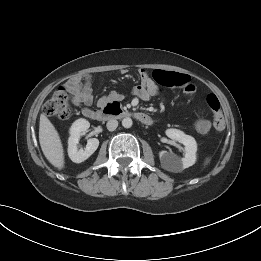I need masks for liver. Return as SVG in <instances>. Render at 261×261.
<instances>
[{"mask_svg":"<svg viewBox=\"0 0 261 261\" xmlns=\"http://www.w3.org/2000/svg\"><path fill=\"white\" fill-rule=\"evenodd\" d=\"M39 142L47 160L59 170L63 169L65 162L62 142L57 130L45 114L40 115Z\"/></svg>","mask_w":261,"mask_h":261,"instance_id":"liver-1","label":"liver"}]
</instances>
